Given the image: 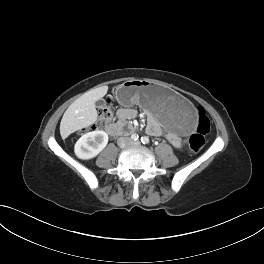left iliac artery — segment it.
I'll return each instance as SVG.
<instances>
[{
	"label": "left iliac artery",
	"mask_w": 264,
	"mask_h": 264,
	"mask_svg": "<svg viewBox=\"0 0 264 264\" xmlns=\"http://www.w3.org/2000/svg\"><path fill=\"white\" fill-rule=\"evenodd\" d=\"M141 142L143 143V144H149V138L148 137H146V136H144V137H141Z\"/></svg>",
	"instance_id": "left-iliac-artery-1"
}]
</instances>
